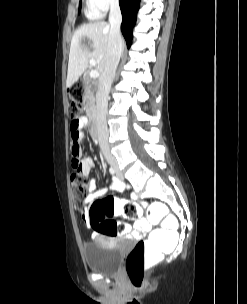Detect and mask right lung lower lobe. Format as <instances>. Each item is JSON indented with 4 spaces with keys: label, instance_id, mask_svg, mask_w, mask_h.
I'll list each match as a JSON object with an SVG mask.
<instances>
[{
    "label": "right lung lower lobe",
    "instance_id": "98d812e1",
    "mask_svg": "<svg viewBox=\"0 0 247 304\" xmlns=\"http://www.w3.org/2000/svg\"><path fill=\"white\" fill-rule=\"evenodd\" d=\"M140 0H119L122 13L121 31L126 40L127 46L132 43V30L136 22V15L139 9Z\"/></svg>",
    "mask_w": 247,
    "mask_h": 304
}]
</instances>
